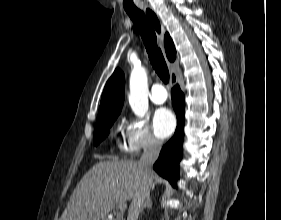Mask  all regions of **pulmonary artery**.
<instances>
[{
  "mask_svg": "<svg viewBox=\"0 0 281 220\" xmlns=\"http://www.w3.org/2000/svg\"><path fill=\"white\" fill-rule=\"evenodd\" d=\"M150 99L155 104H162L167 99V92L161 84H154L151 88Z\"/></svg>",
  "mask_w": 281,
  "mask_h": 220,
  "instance_id": "pulmonary-artery-1",
  "label": "pulmonary artery"
}]
</instances>
